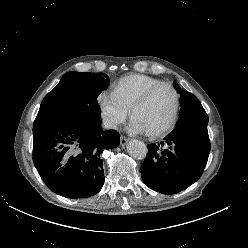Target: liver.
Returning <instances> with one entry per match:
<instances>
[{
    "label": "liver",
    "instance_id": "1",
    "mask_svg": "<svg viewBox=\"0 0 248 248\" xmlns=\"http://www.w3.org/2000/svg\"><path fill=\"white\" fill-rule=\"evenodd\" d=\"M72 153H73V151H69V154H68V156H69V155H71Z\"/></svg>",
    "mask_w": 248,
    "mask_h": 248
}]
</instances>
